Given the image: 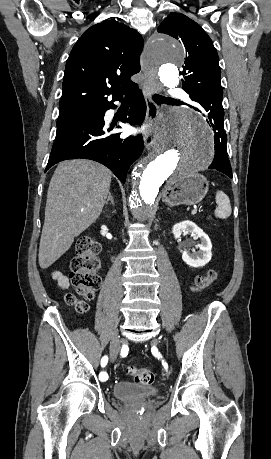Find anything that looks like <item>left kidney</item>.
Returning a JSON list of instances; mask_svg holds the SVG:
<instances>
[{
	"mask_svg": "<svg viewBox=\"0 0 271 459\" xmlns=\"http://www.w3.org/2000/svg\"><path fill=\"white\" fill-rule=\"evenodd\" d=\"M182 231H190V233H195V237H201V243H197L199 251H193V253L182 251L183 261H186L192 267H200V265L208 263L212 257V243L207 233L203 229L198 228L194 222H189V220L179 222V224H175L172 228L174 237H181Z\"/></svg>",
	"mask_w": 271,
	"mask_h": 459,
	"instance_id": "1",
	"label": "left kidney"
}]
</instances>
